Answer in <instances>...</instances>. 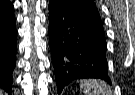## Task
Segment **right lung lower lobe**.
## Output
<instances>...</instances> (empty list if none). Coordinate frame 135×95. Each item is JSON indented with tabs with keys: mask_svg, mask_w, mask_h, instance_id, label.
<instances>
[{
	"mask_svg": "<svg viewBox=\"0 0 135 95\" xmlns=\"http://www.w3.org/2000/svg\"><path fill=\"white\" fill-rule=\"evenodd\" d=\"M16 20L14 13L0 16V88L11 93L16 55Z\"/></svg>",
	"mask_w": 135,
	"mask_h": 95,
	"instance_id": "1",
	"label": "right lung lower lobe"
}]
</instances>
